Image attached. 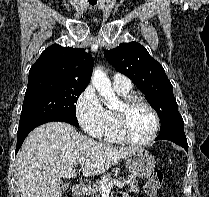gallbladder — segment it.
I'll list each match as a JSON object with an SVG mask.
<instances>
[{
  "instance_id": "gallbladder-1",
  "label": "gallbladder",
  "mask_w": 209,
  "mask_h": 197,
  "mask_svg": "<svg viewBox=\"0 0 209 197\" xmlns=\"http://www.w3.org/2000/svg\"><path fill=\"white\" fill-rule=\"evenodd\" d=\"M67 188H68V184H63V185H62V189H63V190H66Z\"/></svg>"
}]
</instances>
